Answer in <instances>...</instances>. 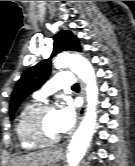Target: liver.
Returning a JSON list of instances; mask_svg holds the SVG:
<instances>
[{
	"label": "liver",
	"instance_id": "6515ba94",
	"mask_svg": "<svg viewBox=\"0 0 135 166\" xmlns=\"http://www.w3.org/2000/svg\"><path fill=\"white\" fill-rule=\"evenodd\" d=\"M50 155V150H42L38 152H31L27 155L17 157L12 161V166H32L38 160H46Z\"/></svg>",
	"mask_w": 135,
	"mask_h": 166
}]
</instances>
